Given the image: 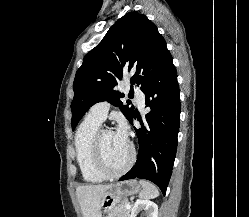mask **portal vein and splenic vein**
I'll return each mask as SVG.
<instances>
[{"instance_id":"portal-vein-and-splenic-vein-1","label":"portal vein and splenic vein","mask_w":249,"mask_h":217,"mask_svg":"<svg viewBox=\"0 0 249 217\" xmlns=\"http://www.w3.org/2000/svg\"><path fill=\"white\" fill-rule=\"evenodd\" d=\"M130 208H131V204L128 203V204L126 205V209H130Z\"/></svg>"}]
</instances>
